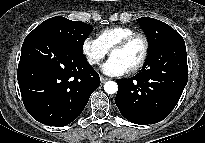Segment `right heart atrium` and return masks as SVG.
I'll return each mask as SVG.
<instances>
[{
	"label": "right heart atrium",
	"mask_w": 205,
	"mask_h": 143,
	"mask_svg": "<svg viewBox=\"0 0 205 143\" xmlns=\"http://www.w3.org/2000/svg\"><path fill=\"white\" fill-rule=\"evenodd\" d=\"M82 52L90 65L99 64L108 54V50L98 39L88 36L82 43Z\"/></svg>",
	"instance_id": "1"
}]
</instances>
